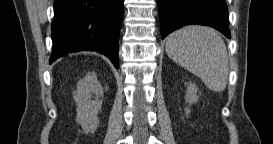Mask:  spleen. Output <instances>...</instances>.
Masks as SVG:
<instances>
[{
  "label": "spleen",
  "instance_id": "obj_1",
  "mask_svg": "<svg viewBox=\"0 0 273 144\" xmlns=\"http://www.w3.org/2000/svg\"><path fill=\"white\" fill-rule=\"evenodd\" d=\"M167 55L199 77L208 89L221 92L228 78V55L220 35L210 27L190 25L169 35Z\"/></svg>",
  "mask_w": 273,
  "mask_h": 144
}]
</instances>
